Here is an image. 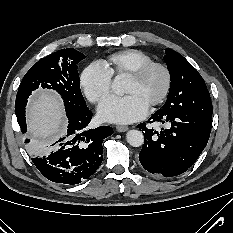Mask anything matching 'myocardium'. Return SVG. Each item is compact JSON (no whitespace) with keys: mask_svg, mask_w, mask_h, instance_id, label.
<instances>
[{"mask_svg":"<svg viewBox=\"0 0 233 233\" xmlns=\"http://www.w3.org/2000/svg\"><path fill=\"white\" fill-rule=\"evenodd\" d=\"M153 69H159L163 73L164 86L159 96L149 104V107L151 108L161 105L167 99L170 93L172 87V73L169 67L160 62H150L138 67L127 75V78L138 81L141 80Z\"/></svg>","mask_w":233,"mask_h":233,"instance_id":"1","label":"myocardium"}]
</instances>
